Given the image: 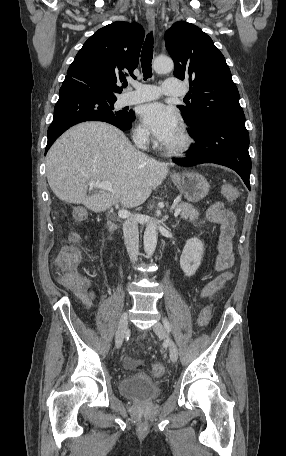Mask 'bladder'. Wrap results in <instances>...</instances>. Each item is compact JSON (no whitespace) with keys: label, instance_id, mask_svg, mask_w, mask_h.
Here are the masks:
<instances>
[{"label":"bladder","instance_id":"bladder-1","mask_svg":"<svg viewBox=\"0 0 286 456\" xmlns=\"http://www.w3.org/2000/svg\"><path fill=\"white\" fill-rule=\"evenodd\" d=\"M163 391L161 383L144 374H133L123 377L119 382V392L138 402H151Z\"/></svg>","mask_w":286,"mask_h":456}]
</instances>
